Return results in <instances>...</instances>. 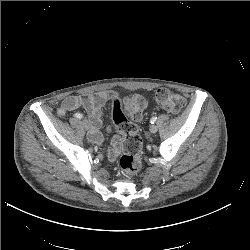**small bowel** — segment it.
I'll list each match as a JSON object with an SVG mask.
<instances>
[{"instance_id": "1", "label": "small bowel", "mask_w": 250, "mask_h": 250, "mask_svg": "<svg viewBox=\"0 0 250 250\" xmlns=\"http://www.w3.org/2000/svg\"><path fill=\"white\" fill-rule=\"evenodd\" d=\"M118 97L116 92L100 91L86 95H70L67 96L57 109V114L60 117L65 116L68 112L82 107L89 116L90 131L88 138L94 143L102 142V134L100 132L102 106L108 100H113ZM117 150L114 148L109 151V158L113 159Z\"/></svg>"}]
</instances>
